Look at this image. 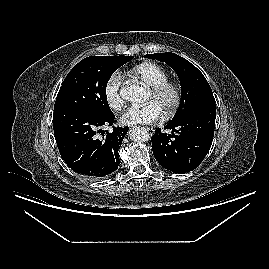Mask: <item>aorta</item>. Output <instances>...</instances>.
I'll return each mask as SVG.
<instances>
[{
	"label": "aorta",
	"mask_w": 269,
	"mask_h": 269,
	"mask_svg": "<svg viewBox=\"0 0 269 269\" xmlns=\"http://www.w3.org/2000/svg\"><path fill=\"white\" fill-rule=\"evenodd\" d=\"M144 90L139 85L125 86L120 91V96L127 101L137 103L142 100ZM130 139L135 142H146L150 139V135L143 127H133L129 131Z\"/></svg>",
	"instance_id": "aorta-1"
}]
</instances>
